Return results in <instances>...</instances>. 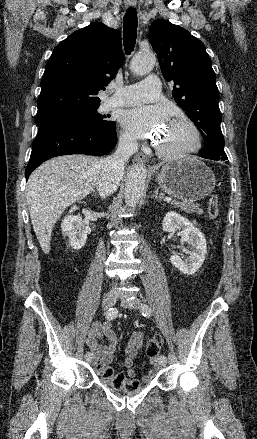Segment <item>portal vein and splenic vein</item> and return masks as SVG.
<instances>
[{"label":"portal vein and splenic vein","mask_w":257,"mask_h":439,"mask_svg":"<svg viewBox=\"0 0 257 439\" xmlns=\"http://www.w3.org/2000/svg\"><path fill=\"white\" fill-rule=\"evenodd\" d=\"M164 200H165L166 202H170V201H172V197H166Z\"/></svg>","instance_id":"18ae733b"}]
</instances>
